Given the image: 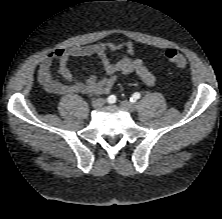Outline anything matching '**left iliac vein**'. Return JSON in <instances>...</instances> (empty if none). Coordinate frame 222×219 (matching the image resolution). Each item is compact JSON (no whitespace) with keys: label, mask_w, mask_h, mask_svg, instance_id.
Segmentation results:
<instances>
[{"label":"left iliac vein","mask_w":222,"mask_h":219,"mask_svg":"<svg viewBox=\"0 0 222 219\" xmlns=\"http://www.w3.org/2000/svg\"><path fill=\"white\" fill-rule=\"evenodd\" d=\"M121 107H123L125 110H127L128 112H134L136 107L134 105V103L128 101V100H123L120 103Z\"/></svg>","instance_id":"1"}]
</instances>
